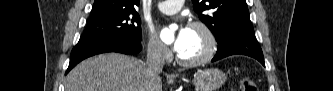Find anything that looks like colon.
<instances>
[{"label":"colon","instance_id":"colon-1","mask_svg":"<svg viewBox=\"0 0 333 91\" xmlns=\"http://www.w3.org/2000/svg\"><path fill=\"white\" fill-rule=\"evenodd\" d=\"M241 91H257L256 83L249 77H243L240 82Z\"/></svg>","mask_w":333,"mask_h":91}]
</instances>
